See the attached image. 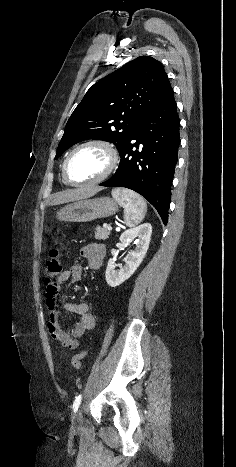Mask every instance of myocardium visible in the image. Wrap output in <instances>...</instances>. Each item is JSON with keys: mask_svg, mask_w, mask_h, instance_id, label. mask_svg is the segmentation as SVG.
I'll list each match as a JSON object with an SVG mask.
<instances>
[{"mask_svg": "<svg viewBox=\"0 0 236 467\" xmlns=\"http://www.w3.org/2000/svg\"><path fill=\"white\" fill-rule=\"evenodd\" d=\"M99 147L101 148L102 150H104L108 156V165H107V168L106 170L97 178L91 180V181H87V182H75L73 181L70 176H69V171H68V166H69V162L71 160V158L73 157V155L85 148V147ZM119 162H120V155H119V152H118V149L116 148V146L108 141V140H105V139H93V140H88L86 142H83L81 144H79L78 146H76L69 154L68 156L66 157L64 163H63V167H62V176H63V179L65 181V183H67L68 185H71V186H88V185H94V184H98L104 180H106L118 167L119 165Z\"/></svg>", "mask_w": 236, "mask_h": 467, "instance_id": "obj_1", "label": "myocardium"}]
</instances>
